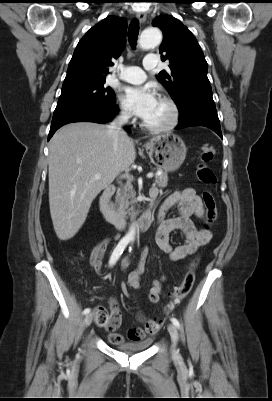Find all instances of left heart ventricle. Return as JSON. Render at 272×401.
<instances>
[{
    "mask_svg": "<svg viewBox=\"0 0 272 401\" xmlns=\"http://www.w3.org/2000/svg\"><path fill=\"white\" fill-rule=\"evenodd\" d=\"M170 119L169 106L160 99H157L156 104L150 114L143 119L146 123L151 125L165 124Z\"/></svg>",
    "mask_w": 272,
    "mask_h": 401,
    "instance_id": "left-heart-ventricle-1",
    "label": "left heart ventricle"
}]
</instances>
